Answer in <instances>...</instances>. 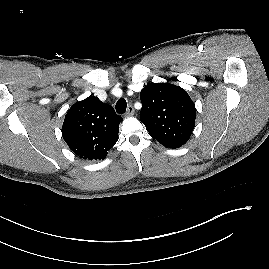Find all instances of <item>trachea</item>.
Instances as JSON below:
<instances>
[{
    "mask_svg": "<svg viewBox=\"0 0 269 269\" xmlns=\"http://www.w3.org/2000/svg\"><path fill=\"white\" fill-rule=\"evenodd\" d=\"M127 102L124 98H120L116 103V111L118 114L126 112Z\"/></svg>",
    "mask_w": 269,
    "mask_h": 269,
    "instance_id": "obj_1",
    "label": "trachea"
}]
</instances>
